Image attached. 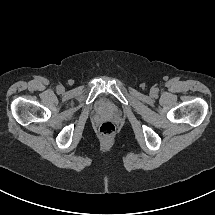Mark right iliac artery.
<instances>
[{
  "instance_id": "1",
  "label": "right iliac artery",
  "mask_w": 215,
  "mask_h": 215,
  "mask_svg": "<svg viewBox=\"0 0 215 215\" xmlns=\"http://www.w3.org/2000/svg\"><path fill=\"white\" fill-rule=\"evenodd\" d=\"M57 90H58V91H60V90H61V87H60V86H58V87H57Z\"/></svg>"
}]
</instances>
